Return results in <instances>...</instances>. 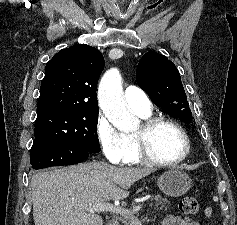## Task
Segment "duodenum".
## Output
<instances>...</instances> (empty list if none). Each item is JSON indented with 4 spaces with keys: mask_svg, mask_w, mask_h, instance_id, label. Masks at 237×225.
Returning <instances> with one entry per match:
<instances>
[{
    "mask_svg": "<svg viewBox=\"0 0 237 225\" xmlns=\"http://www.w3.org/2000/svg\"><path fill=\"white\" fill-rule=\"evenodd\" d=\"M108 225H118V223H117V221H115V220H112V221H110L109 222V224Z\"/></svg>",
    "mask_w": 237,
    "mask_h": 225,
    "instance_id": "duodenum-1",
    "label": "duodenum"
}]
</instances>
